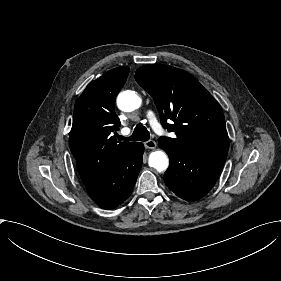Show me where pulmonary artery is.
Segmentation results:
<instances>
[{"label": "pulmonary artery", "mask_w": 281, "mask_h": 281, "mask_svg": "<svg viewBox=\"0 0 281 281\" xmlns=\"http://www.w3.org/2000/svg\"><path fill=\"white\" fill-rule=\"evenodd\" d=\"M146 116H147V118H148V120L150 122V125L153 128V130L156 133H161L162 132L161 125L157 121L154 112L147 111ZM128 132H129L128 129H122L121 134H127Z\"/></svg>", "instance_id": "e3ab8cb5"}]
</instances>
